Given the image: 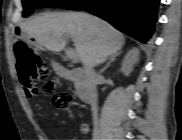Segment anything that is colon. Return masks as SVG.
Returning a JSON list of instances; mask_svg holds the SVG:
<instances>
[{
    "label": "colon",
    "mask_w": 182,
    "mask_h": 140,
    "mask_svg": "<svg viewBox=\"0 0 182 140\" xmlns=\"http://www.w3.org/2000/svg\"><path fill=\"white\" fill-rule=\"evenodd\" d=\"M14 52L24 90L28 96H33L38 92L37 84L48 78V68L40 55L24 41L15 43ZM52 88V83L46 84L47 91ZM52 103L55 108H67L73 103V97L69 92H60L53 96Z\"/></svg>",
    "instance_id": "obj_1"
}]
</instances>
